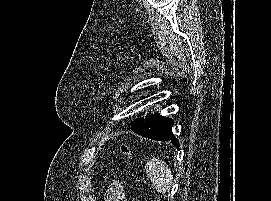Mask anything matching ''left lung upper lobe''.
Wrapping results in <instances>:
<instances>
[{
  "instance_id": "obj_1",
  "label": "left lung upper lobe",
  "mask_w": 271,
  "mask_h": 201,
  "mask_svg": "<svg viewBox=\"0 0 271 201\" xmlns=\"http://www.w3.org/2000/svg\"><path fill=\"white\" fill-rule=\"evenodd\" d=\"M172 122L171 118L149 112L146 116L133 121L132 127L143 137L162 140L170 134Z\"/></svg>"
}]
</instances>
